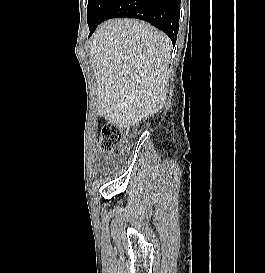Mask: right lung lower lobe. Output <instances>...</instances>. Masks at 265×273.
I'll return each instance as SVG.
<instances>
[{"label": "right lung lower lobe", "mask_w": 265, "mask_h": 273, "mask_svg": "<svg viewBox=\"0 0 265 273\" xmlns=\"http://www.w3.org/2000/svg\"><path fill=\"white\" fill-rule=\"evenodd\" d=\"M179 14L180 0H113L101 22L115 17L141 19L165 32L174 43L179 30ZM95 29H90V35Z\"/></svg>", "instance_id": "98d812e1"}]
</instances>
